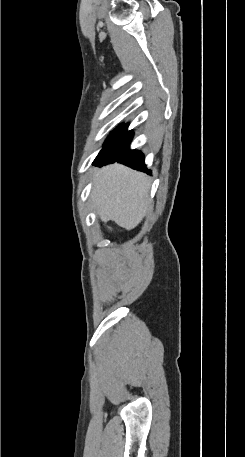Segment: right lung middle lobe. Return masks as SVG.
Segmentation results:
<instances>
[{"instance_id":"right-lung-middle-lobe-1","label":"right lung middle lobe","mask_w":245,"mask_h":457,"mask_svg":"<svg viewBox=\"0 0 245 457\" xmlns=\"http://www.w3.org/2000/svg\"><path fill=\"white\" fill-rule=\"evenodd\" d=\"M123 124H121L120 126H118L108 137V139L105 141L104 143V147L103 149L100 151L99 155L97 156V158L95 159L94 161V164L99 160V158L101 157V155L103 154V152L105 151V149L109 146V144L112 142V140L115 138V136L117 135V133L120 131V129L122 128Z\"/></svg>"}]
</instances>
